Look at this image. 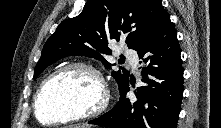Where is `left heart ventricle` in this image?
<instances>
[{"label":"left heart ventricle","mask_w":221,"mask_h":128,"mask_svg":"<svg viewBox=\"0 0 221 128\" xmlns=\"http://www.w3.org/2000/svg\"><path fill=\"white\" fill-rule=\"evenodd\" d=\"M98 92V85L91 74L79 69L66 71L45 86L37 106L38 117L47 123L82 112Z\"/></svg>","instance_id":"b2bd125f"}]
</instances>
